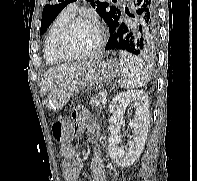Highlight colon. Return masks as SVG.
Masks as SVG:
<instances>
[{
  "mask_svg": "<svg viewBox=\"0 0 197 181\" xmlns=\"http://www.w3.org/2000/svg\"><path fill=\"white\" fill-rule=\"evenodd\" d=\"M66 125H67L66 120L62 118H57L52 122L51 130L54 137L58 141H64L67 138L68 133L66 130Z\"/></svg>",
  "mask_w": 197,
  "mask_h": 181,
  "instance_id": "1",
  "label": "colon"
}]
</instances>
